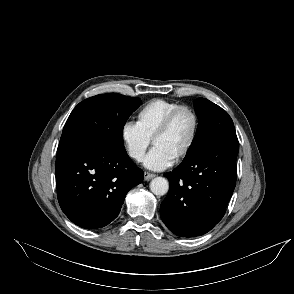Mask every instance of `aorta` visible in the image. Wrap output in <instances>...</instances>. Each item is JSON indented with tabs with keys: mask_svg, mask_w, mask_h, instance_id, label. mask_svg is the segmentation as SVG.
Masks as SVG:
<instances>
[{
	"mask_svg": "<svg viewBox=\"0 0 294 294\" xmlns=\"http://www.w3.org/2000/svg\"><path fill=\"white\" fill-rule=\"evenodd\" d=\"M169 183L163 177H156L150 182V190L153 194L163 196L168 192Z\"/></svg>",
	"mask_w": 294,
	"mask_h": 294,
	"instance_id": "aorta-1",
	"label": "aorta"
}]
</instances>
